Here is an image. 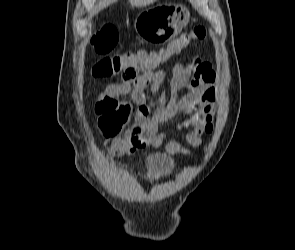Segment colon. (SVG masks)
Listing matches in <instances>:
<instances>
[{
    "mask_svg": "<svg viewBox=\"0 0 295 250\" xmlns=\"http://www.w3.org/2000/svg\"><path fill=\"white\" fill-rule=\"evenodd\" d=\"M206 36L204 26H195L191 31L183 33L169 42L167 51L180 53L189 45L198 40H203ZM118 43V32L112 25H106L97 31L92 39L91 45L96 54H106L110 52ZM133 61L125 54L109 55L99 59L92 67V75L95 78L105 79L115 76L127 70ZM98 114V127L101 133L107 137L118 135L131 114V106L128 103L117 101L115 98L106 97L96 104Z\"/></svg>",
    "mask_w": 295,
    "mask_h": 250,
    "instance_id": "5ec220e1",
    "label": "colon"
}]
</instances>
